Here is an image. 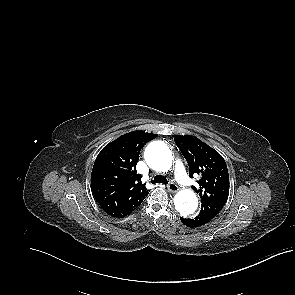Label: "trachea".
<instances>
[{"mask_svg":"<svg viewBox=\"0 0 295 295\" xmlns=\"http://www.w3.org/2000/svg\"><path fill=\"white\" fill-rule=\"evenodd\" d=\"M153 183H162V184H167L168 181L164 176L157 175L154 177V180L152 181Z\"/></svg>","mask_w":295,"mask_h":295,"instance_id":"trachea-1","label":"trachea"}]
</instances>
